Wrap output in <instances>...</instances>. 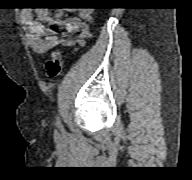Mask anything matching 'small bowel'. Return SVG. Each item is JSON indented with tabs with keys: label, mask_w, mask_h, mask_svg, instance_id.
<instances>
[{
	"label": "small bowel",
	"mask_w": 192,
	"mask_h": 180,
	"mask_svg": "<svg viewBox=\"0 0 192 180\" xmlns=\"http://www.w3.org/2000/svg\"><path fill=\"white\" fill-rule=\"evenodd\" d=\"M91 19V11L82 9L78 15L65 17L62 12L51 16L49 12L40 8L35 11L23 10L20 15L21 24L26 30V39L31 49L38 55L46 54L50 49L60 44L78 43L84 45L91 37V31L87 22ZM44 24L49 26H63L68 34H75V40H63L53 29H46Z\"/></svg>",
	"instance_id": "small-bowel-1"
}]
</instances>
